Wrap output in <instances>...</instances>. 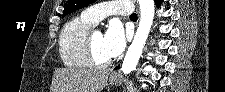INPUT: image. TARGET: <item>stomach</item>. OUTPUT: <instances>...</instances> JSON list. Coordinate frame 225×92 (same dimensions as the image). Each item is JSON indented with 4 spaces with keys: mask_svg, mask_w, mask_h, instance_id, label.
I'll list each match as a JSON object with an SVG mask.
<instances>
[{
    "mask_svg": "<svg viewBox=\"0 0 225 92\" xmlns=\"http://www.w3.org/2000/svg\"><path fill=\"white\" fill-rule=\"evenodd\" d=\"M119 81L120 80H119L118 76L113 75V74L110 75V77H109L110 84H117V83H119Z\"/></svg>",
    "mask_w": 225,
    "mask_h": 92,
    "instance_id": "obj_1",
    "label": "stomach"
}]
</instances>
